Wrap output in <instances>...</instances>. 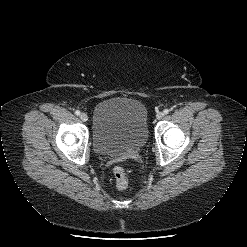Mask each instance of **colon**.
I'll use <instances>...</instances> for the list:
<instances>
[{
  "instance_id": "1",
  "label": "colon",
  "mask_w": 247,
  "mask_h": 247,
  "mask_svg": "<svg viewBox=\"0 0 247 247\" xmlns=\"http://www.w3.org/2000/svg\"><path fill=\"white\" fill-rule=\"evenodd\" d=\"M113 174L115 178L116 187L120 190H124L128 186V178L124 168L116 166L113 169Z\"/></svg>"
}]
</instances>
